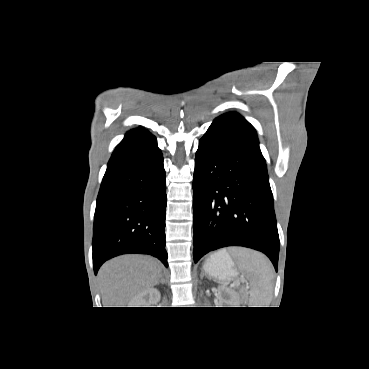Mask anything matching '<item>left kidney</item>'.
I'll use <instances>...</instances> for the list:
<instances>
[{
  "label": "left kidney",
  "instance_id": "5707ae66",
  "mask_svg": "<svg viewBox=\"0 0 369 369\" xmlns=\"http://www.w3.org/2000/svg\"><path fill=\"white\" fill-rule=\"evenodd\" d=\"M218 300L220 307H239V296L236 292L224 289L222 287L218 290Z\"/></svg>",
  "mask_w": 369,
  "mask_h": 369
}]
</instances>
